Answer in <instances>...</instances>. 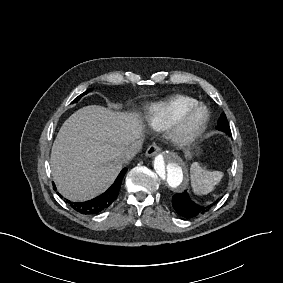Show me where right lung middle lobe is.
<instances>
[{"label":"right lung middle lobe","mask_w":283,"mask_h":283,"mask_svg":"<svg viewBox=\"0 0 283 283\" xmlns=\"http://www.w3.org/2000/svg\"><path fill=\"white\" fill-rule=\"evenodd\" d=\"M92 89H88L86 92L82 93L81 95H79L77 98L74 99V101L72 103L78 102V100L80 99V97L84 96L85 94H87L88 92H90Z\"/></svg>","instance_id":"right-lung-middle-lobe-1"}]
</instances>
